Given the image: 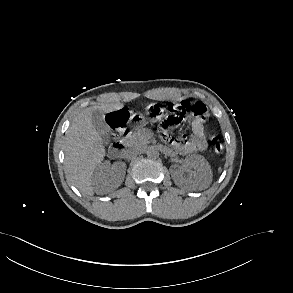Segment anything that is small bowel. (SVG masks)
Listing matches in <instances>:
<instances>
[{
	"instance_id": "obj_1",
	"label": "small bowel",
	"mask_w": 293,
	"mask_h": 293,
	"mask_svg": "<svg viewBox=\"0 0 293 293\" xmlns=\"http://www.w3.org/2000/svg\"><path fill=\"white\" fill-rule=\"evenodd\" d=\"M191 135L188 139H176L172 141V146L182 154H190L204 151L207 148L203 121L195 118L191 121Z\"/></svg>"
}]
</instances>
